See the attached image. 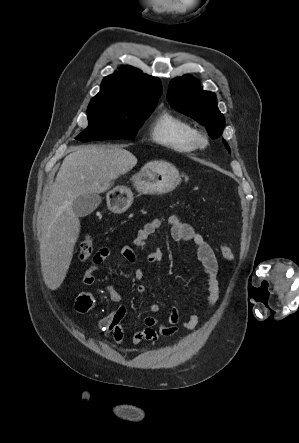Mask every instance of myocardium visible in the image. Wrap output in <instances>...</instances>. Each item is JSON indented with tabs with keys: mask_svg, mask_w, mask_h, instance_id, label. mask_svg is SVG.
Returning <instances> with one entry per match:
<instances>
[{
	"mask_svg": "<svg viewBox=\"0 0 299 443\" xmlns=\"http://www.w3.org/2000/svg\"><path fill=\"white\" fill-rule=\"evenodd\" d=\"M193 141L196 149H204L208 145V137L201 131H196Z\"/></svg>",
	"mask_w": 299,
	"mask_h": 443,
	"instance_id": "f54148a6",
	"label": "myocardium"
}]
</instances>
